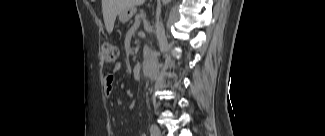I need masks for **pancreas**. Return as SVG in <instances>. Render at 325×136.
Here are the masks:
<instances>
[{"label":"pancreas","mask_w":325,"mask_h":136,"mask_svg":"<svg viewBox=\"0 0 325 136\" xmlns=\"http://www.w3.org/2000/svg\"><path fill=\"white\" fill-rule=\"evenodd\" d=\"M129 23H130V24H129L130 26H133L134 20H133V19H130V20H129Z\"/></svg>","instance_id":"cf45deb5"}]
</instances>
